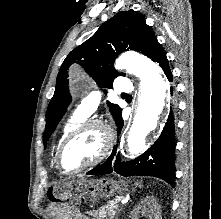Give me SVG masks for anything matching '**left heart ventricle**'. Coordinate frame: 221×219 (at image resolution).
Returning <instances> with one entry per match:
<instances>
[{
  "mask_svg": "<svg viewBox=\"0 0 221 219\" xmlns=\"http://www.w3.org/2000/svg\"><path fill=\"white\" fill-rule=\"evenodd\" d=\"M103 146V133L97 127L77 135L65 148L62 165L66 170H75L94 160Z\"/></svg>",
  "mask_w": 221,
  "mask_h": 219,
  "instance_id": "b2bd125f",
  "label": "left heart ventricle"
}]
</instances>
